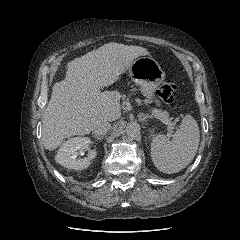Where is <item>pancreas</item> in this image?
I'll use <instances>...</instances> for the list:
<instances>
[{
  "mask_svg": "<svg viewBox=\"0 0 240 240\" xmlns=\"http://www.w3.org/2000/svg\"><path fill=\"white\" fill-rule=\"evenodd\" d=\"M155 116L159 118L160 120L165 119L169 121V114L166 111H161V110H155Z\"/></svg>",
  "mask_w": 240,
  "mask_h": 240,
  "instance_id": "obj_1",
  "label": "pancreas"
}]
</instances>
